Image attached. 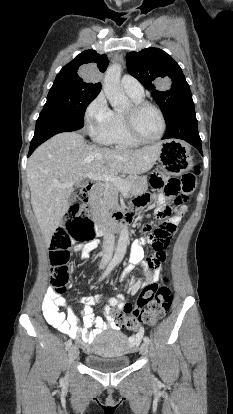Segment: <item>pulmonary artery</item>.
I'll list each match as a JSON object with an SVG mask.
<instances>
[{
    "label": "pulmonary artery",
    "mask_w": 233,
    "mask_h": 414,
    "mask_svg": "<svg viewBox=\"0 0 233 414\" xmlns=\"http://www.w3.org/2000/svg\"><path fill=\"white\" fill-rule=\"evenodd\" d=\"M121 87L128 95L138 98L144 96L142 84L133 76L124 75L121 79Z\"/></svg>",
    "instance_id": "1"
}]
</instances>
